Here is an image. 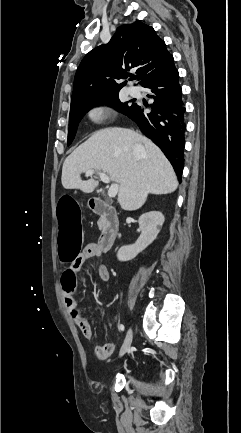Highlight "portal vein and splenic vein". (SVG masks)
Wrapping results in <instances>:
<instances>
[{"label": "portal vein and splenic vein", "mask_w": 241, "mask_h": 433, "mask_svg": "<svg viewBox=\"0 0 241 433\" xmlns=\"http://www.w3.org/2000/svg\"><path fill=\"white\" fill-rule=\"evenodd\" d=\"M95 172L98 173L101 181H103L106 184L110 183V178L105 173H103V172H98V171H96L94 169H89L85 173H86V175L91 176ZM117 193H118V184L112 183L111 186H110V188H109V190H108V196L110 198H113V197H115L117 195Z\"/></svg>", "instance_id": "18ae733b"}]
</instances>
